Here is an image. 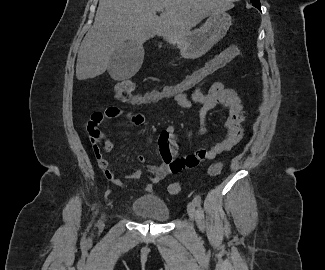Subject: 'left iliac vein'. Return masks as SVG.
<instances>
[{"instance_id":"obj_1","label":"left iliac vein","mask_w":325,"mask_h":270,"mask_svg":"<svg viewBox=\"0 0 325 270\" xmlns=\"http://www.w3.org/2000/svg\"><path fill=\"white\" fill-rule=\"evenodd\" d=\"M187 212H188L190 219L193 221L196 216V205H195L194 201H192L188 204Z\"/></svg>"}]
</instances>
